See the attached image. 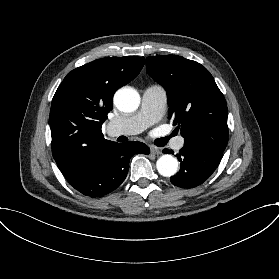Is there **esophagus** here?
Listing matches in <instances>:
<instances>
[{"label": "esophagus", "instance_id": "1", "mask_svg": "<svg viewBox=\"0 0 279 279\" xmlns=\"http://www.w3.org/2000/svg\"><path fill=\"white\" fill-rule=\"evenodd\" d=\"M150 153L153 154V155H158V154H160V150H159V148H157L155 146H151L150 147Z\"/></svg>", "mask_w": 279, "mask_h": 279}]
</instances>
